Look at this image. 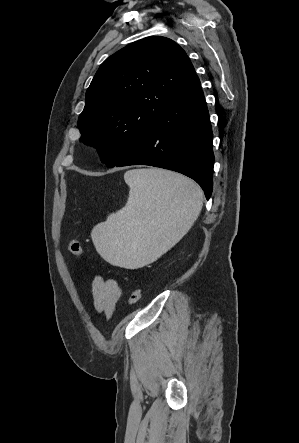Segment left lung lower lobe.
Returning a JSON list of instances; mask_svg holds the SVG:
<instances>
[{"label": "left lung lower lobe", "mask_w": 299, "mask_h": 443, "mask_svg": "<svg viewBox=\"0 0 299 443\" xmlns=\"http://www.w3.org/2000/svg\"><path fill=\"white\" fill-rule=\"evenodd\" d=\"M212 138L207 105L195 74L114 166L149 165L182 173L202 187L208 200L213 190Z\"/></svg>", "instance_id": "1"}]
</instances>
